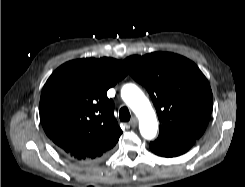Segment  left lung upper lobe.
<instances>
[{
	"instance_id": "1",
	"label": "left lung upper lobe",
	"mask_w": 245,
	"mask_h": 187,
	"mask_svg": "<svg viewBox=\"0 0 245 187\" xmlns=\"http://www.w3.org/2000/svg\"><path fill=\"white\" fill-rule=\"evenodd\" d=\"M134 80L149 92L160 121L158 139H199L209 122L213 97L200 69L189 59L167 52L124 60Z\"/></svg>"
}]
</instances>
